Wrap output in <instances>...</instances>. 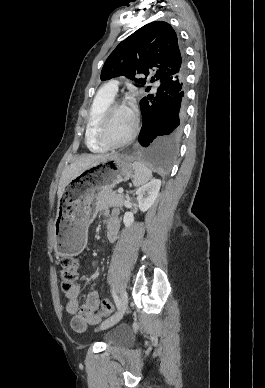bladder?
<instances>
[{"label":"bladder","instance_id":"31cf9c89","mask_svg":"<svg viewBox=\"0 0 265 388\" xmlns=\"http://www.w3.org/2000/svg\"><path fill=\"white\" fill-rule=\"evenodd\" d=\"M126 329L121 327V328H116L114 330H111L109 332H107L105 335H104V340L109 344H113V343H124L126 342Z\"/></svg>","mask_w":265,"mask_h":388}]
</instances>
